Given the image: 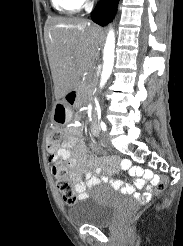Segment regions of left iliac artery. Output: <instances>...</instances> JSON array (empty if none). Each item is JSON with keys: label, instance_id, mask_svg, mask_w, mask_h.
<instances>
[{"label": "left iliac artery", "instance_id": "left-iliac-artery-1", "mask_svg": "<svg viewBox=\"0 0 183 246\" xmlns=\"http://www.w3.org/2000/svg\"><path fill=\"white\" fill-rule=\"evenodd\" d=\"M100 126L103 131L107 130L106 124L103 121H101Z\"/></svg>", "mask_w": 183, "mask_h": 246}]
</instances>
